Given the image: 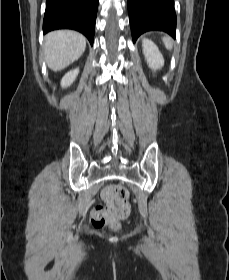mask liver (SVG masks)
Wrapping results in <instances>:
<instances>
[{
    "label": "liver",
    "instance_id": "liver-1",
    "mask_svg": "<svg viewBox=\"0 0 229 280\" xmlns=\"http://www.w3.org/2000/svg\"><path fill=\"white\" fill-rule=\"evenodd\" d=\"M85 48L86 38L75 31L58 30L45 36V60L53 71L63 70L78 60Z\"/></svg>",
    "mask_w": 229,
    "mask_h": 280
}]
</instances>
